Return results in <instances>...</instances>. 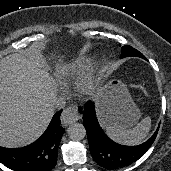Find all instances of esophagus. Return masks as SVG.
I'll return each instance as SVG.
<instances>
[{"instance_id":"obj_1","label":"esophagus","mask_w":171,"mask_h":171,"mask_svg":"<svg viewBox=\"0 0 171 171\" xmlns=\"http://www.w3.org/2000/svg\"><path fill=\"white\" fill-rule=\"evenodd\" d=\"M79 119L80 116L74 107H67L61 115V122L64 126L70 125Z\"/></svg>"}]
</instances>
